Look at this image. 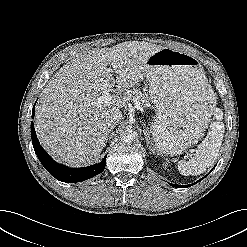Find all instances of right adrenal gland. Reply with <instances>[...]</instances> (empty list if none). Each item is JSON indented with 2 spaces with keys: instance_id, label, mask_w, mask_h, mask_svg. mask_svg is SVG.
Wrapping results in <instances>:
<instances>
[{
  "instance_id": "right-adrenal-gland-1",
  "label": "right adrenal gland",
  "mask_w": 247,
  "mask_h": 247,
  "mask_svg": "<svg viewBox=\"0 0 247 247\" xmlns=\"http://www.w3.org/2000/svg\"><path fill=\"white\" fill-rule=\"evenodd\" d=\"M110 132H111V129H109V130H108V133H107V135H109V133H110Z\"/></svg>"
}]
</instances>
